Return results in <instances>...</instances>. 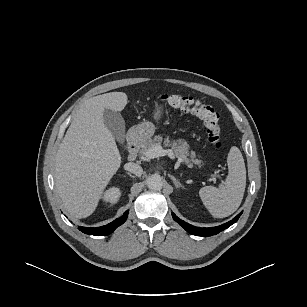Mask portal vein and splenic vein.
<instances>
[{
  "mask_svg": "<svg viewBox=\"0 0 307 307\" xmlns=\"http://www.w3.org/2000/svg\"><path fill=\"white\" fill-rule=\"evenodd\" d=\"M166 155H168L171 159H174L175 157L171 149H163L161 145H155L146 152L147 159H153Z\"/></svg>",
  "mask_w": 307,
  "mask_h": 307,
  "instance_id": "obj_1",
  "label": "portal vein and splenic vein"
}]
</instances>
